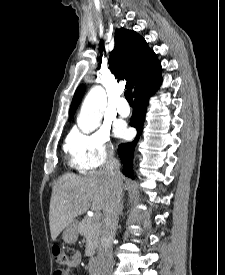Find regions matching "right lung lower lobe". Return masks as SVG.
<instances>
[{"mask_svg": "<svg viewBox=\"0 0 225 275\" xmlns=\"http://www.w3.org/2000/svg\"><path fill=\"white\" fill-rule=\"evenodd\" d=\"M160 84L161 77L160 75H158L149 80V82L145 85V88L134 96L136 108L134 109L133 115L130 119V125L135 127L138 133L136 135V138L132 142L120 144L118 147V153L123 163V173L128 177H133L132 159L134 148L139 140L143 129L149 96L156 91Z\"/></svg>", "mask_w": 225, "mask_h": 275, "instance_id": "98d812e1", "label": "right lung lower lobe"}]
</instances>
